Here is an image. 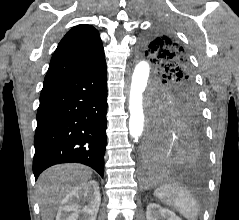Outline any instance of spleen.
I'll return each instance as SVG.
<instances>
[{"label": "spleen", "instance_id": "1", "mask_svg": "<svg viewBox=\"0 0 239 220\" xmlns=\"http://www.w3.org/2000/svg\"><path fill=\"white\" fill-rule=\"evenodd\" d=\"M154 195L166 205L176 209L187 220H197L198 210L194 197L177 185H163L154 191Z\"/></svg>", "mask_w": 239, "mask_h": 220}]
</instances>
